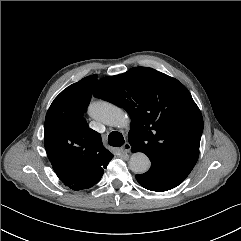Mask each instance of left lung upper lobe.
<instances>
[{"mask_svg":"<svg viewBox=\"0 0 241 241\" xmlns=\"http://www.w3.org/2000/svg\"><path fill=\"white\" fill-rule=\"evenodd\" d=\"M94 96L130 115L129 143L151 163L186 174L199 156L202 114L188 89L152 68L135 67L98 81Z\"/></svg>","mask_w":241,"mask_h":241,"instance_id":"left-lung-upper-lobe-1","label":"left lung upper lobe"}]
</instances>
